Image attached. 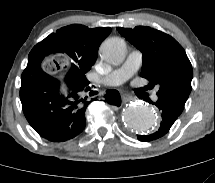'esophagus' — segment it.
I'll return each mask as SVG.
<instances>
[{
	"label": "esophagus",
	"mask_w": 215,
	"mask_h": 183,
	"mask_svg": "<svg viewBox=\"0 0 215 183\" xmlns=\"http://www.w3.org/2000/svg\"><path fill=\"white\" fill-rule=\"evenodd\" d=\"M132 100V97L131 96H129V95H127V94H123L122 95V101H123V103H127V102H129V101H131Z\"/></svg>",
	"instance_id": "esophagus-1"
}]
</instances>
